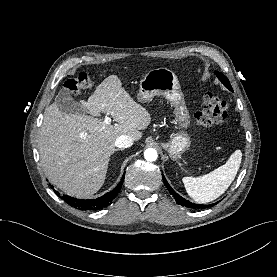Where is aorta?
I'll list each match as a JSON object with an SVG mask.
<instances>
[{"mask_svg":"<svg viewBox=\"0 0 277 277\" xmlns=\"http://www.w3.org/2000/svg\"><path fill=\"white\" fill-rule=\"evenodd\" d=\"M144 157L147 161L153 162L158 158V153L154 148H148L144 152Z\"/></svg>","mask_w":277,"mask_h":277,"instance_id":"aorta-1","label":"aorta"}]
</instances>
